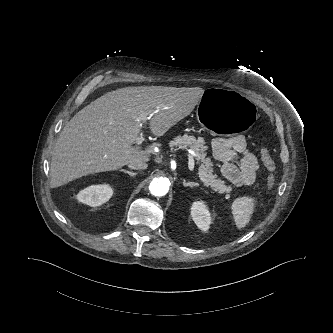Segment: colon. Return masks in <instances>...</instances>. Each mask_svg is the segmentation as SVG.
I'll use <instances>...</instances> for the list:
<instances>
[{"label":"colon","mask_w":333,"mask_h":333,"mask_svg":"<svg viewBox=\"0 0 333 333\" xmlns=\"http://www.w3.org/2000/svg\"><path fill=\"white\" fill-rule=\"evenodd\" d=\"M261 158L265 168L269 173L268 187L272 188L275 182V169H276L274 160L271 157L269 150L266 148L261 150Z\"/></svg>","instance_id":"colon-1"}]
</instances>
